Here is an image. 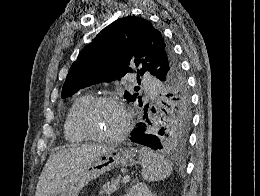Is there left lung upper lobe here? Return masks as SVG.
<instances>
[{"label":"left lung upper lobe","mask_w":260,"mask_h":196,"mask_svg":"<svg viewBox=\"0 0 260 196\" xmlns=\"http://www.w3.org/2000/svg\"><path fill=\"white\" fill-rule=\"evenodd\" d=\"M150 72L162 81L155 107L145 106V131L159 138V149L183 151L191 124L190 97L178 61L161 32L151 22L137 17L120 18L104 28L72 64L62 97L99 81L120 79L127 73ZM139 78V75H138ZM136 90V89H135ZM138 91V90H136ZM128 101L142 104L138 93L125 92Z\"/></svg>","instance_id":"5c2ea615"}]
</instances>
